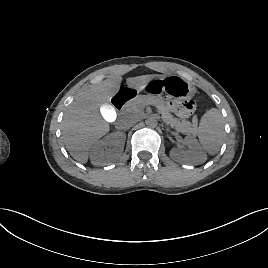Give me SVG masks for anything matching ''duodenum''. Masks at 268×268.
Masks as SVG:
<instances>
[{
    "label": "duodenum",
    "instance_id": "1",
    "mask_svg": "<svg viewBox=\"0 0 268 268\" xmlns=\"http://www.w3.org/2000/svg\"><path fill=\"white\" fill-rule=\"evenodd\" d=\"M135 93L131 89H122L119 92L116 93V95L113 98V105L116 109L120 110L124 107V105L134 98Z\"/></svg>",
    "mask_w": 268,
    "mask_h": 268
}]
</instances>
